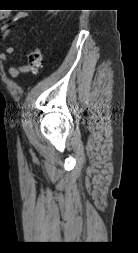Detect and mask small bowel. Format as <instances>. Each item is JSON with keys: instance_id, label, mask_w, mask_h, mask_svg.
I'll use <instances>...</instances> for the list:
<instances>
[{"instance_id": "obj_1", "label": "small bowel", "mask_w": 138, "mask_h": 253, "mask_svg": "<svg viewBox=\"0 0 138 253\" xmlns=\"http://www.w3.org/2000/svg\"><path fill=\"white\" fill-rule=\"evenodd\" d=\"M27 17V14L25 12H19L17 13L12 19L10 22L8 23H5L4 25L1 26L0 28V34L2 36L3 39L7 38L9 36V34L11 33L12 31V25L19 21V20H22L24 18ZM14 52V47L12 45H6L5 46V52L4 53H1L0 54V60L3 62V63H7V60H8V57L7 55L8 54H11ZM23 70L22 67H9L7 69V72L8 74L12 77V78H17L19 73Z\"/></svg>"}]
</instances>
